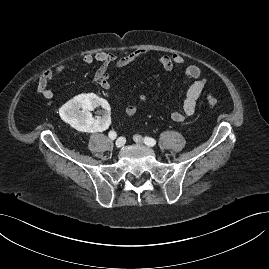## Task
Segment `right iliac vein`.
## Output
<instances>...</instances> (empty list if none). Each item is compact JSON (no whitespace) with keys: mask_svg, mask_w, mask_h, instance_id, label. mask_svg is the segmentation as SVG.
Listing matches in <instances>:
<instances>
[{"mask_svg":"<svg viewBox=\"0 0 269 269\" xmlns=\"http://www.w3.org/2000/svg\"><path fill=\"white\" fill-rule=\"evenodd\" d=\"M125 141H126V140H125L124 137H120V138H118V139L116 140V142H115V146H116L117 148H121V147L124 146Z\"/></svg>","mask_w":269,"mask_h":269,"instance_id":"1","label":"right iliac vein"}]
</instances>
